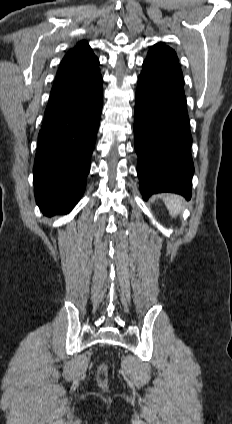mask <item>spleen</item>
<instances>
[{
  "instance_id": "obj_1",
  "label": "spleen",
  "mask_w": 232,
  "mask_h": 424,
  "mask_svg": "<svg viewBox=\"0 0 232 424\" xmlns=\"http://www.w3.org/2000/svg\"><path fill=\"white\" fill-rule=\"evenodd\" d=\"M163 201L172 217H176L182 210L183 200L178 195L167 194L163 197Z\"/></svg>"
}]
</instances>
